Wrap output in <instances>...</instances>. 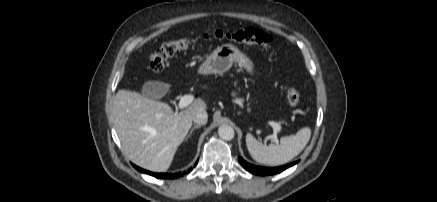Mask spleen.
<instances>
[{
	"label": "spleen",
	"instance_id": "obj_1",
	"mask_svg": "<svg viewBox=\"0 0 437 202\" xmlns=\"http://www.w3.org/2000/svg\"><path fill=\"white\" fill-rule=\"evenodd\" d=\"M311 129L304 127L295 135L285 136L279 143L263 145L251 134L246 135V145L251 157L258 163L265 165H282L299 155L308 144Z\"/></svg>",
	"mask_w": 437,
	"mask_h": 202
}]
</instances>
